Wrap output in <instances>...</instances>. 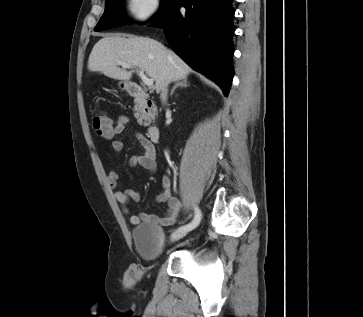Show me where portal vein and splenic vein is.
<instances>
[{
    "instance_id": "18ae733b",
    "label": "portal vein and splenic vein",
    "mask_w": 363,
    "mask_h": 317,
    "mask_svg": "<svg viewBox=\"0 0 363 317\" xmlns=\"http://www.w3.org/2000/svg\"><path fill=\"white\" fill-rule=\"evenodd\" d=\"M120 66H122V68H130V65L127 63H119ZM139 77L142 79L143 83L148 86V87H152L153 86V79L148 78L145 74L143 70H139L138 72Z\"/></svg>"
}]
</instances>
